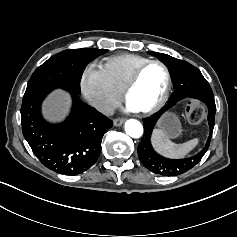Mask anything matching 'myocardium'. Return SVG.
<instances>
[{
	"label": "myocardium",
	"instance_id": "obj_1",
	"mask_svg": "<svg viewBox=\"0 0 237 237\" xmlns=\"http://www.w3.org/2000/svg\"><path fill=\"white\" fill-rule=\"evenodd\" d=\"M151 65H159L163 68L166 76V85H165V90L163 92L162 97L160 100L151 108L144 110V111H138V114L141 116H151L157 112H159L167 103L170 94H171V88H172V76L171 72L169 70V67L162 61L160 60H149L143 65H141L135 73L132 75V77L129 79L127 84L125 85L122 93H123V98L127 102L128 97L132 89L137 85L142 73L145 71L146 68H148Z\"/></svg>",
	"mask_w": 237,
	"mask_h": 237
}]
</instances>
